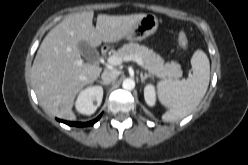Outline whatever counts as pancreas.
<instances>
[{
	"label": "pancreas",
	"mask_w": 248,
	"mask_h": 165,
	"mask_svg": "<svg viewBox=\"0 0 248 165\" xmlns=\"http://www.w3.org/2000/svg\"><path fill=\"white\" fill-rule=\"evenodd\" d=\"M114 55L121 58L138 56L142 59L145 69L150 74L162 79H179L182 76L181 65L179 63L174 61L164 63V60L152 49L138 43L125 44L114 52Z\"/></svg>",
	"instance_id": "pancreas-1"
}]
</instances>
